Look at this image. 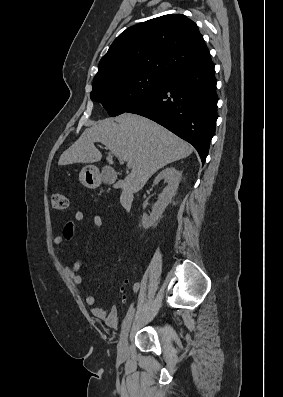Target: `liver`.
<instances>
[{"instance_id":"6515ba94","label":"liver","mask_w":283,"mask_h":397,"mask_svg":"<svg viewBox=\"0 0 283 397\" xmlns=\"http://www.w3.org/2000/svg\"><path fill=\"white\" fill-rule=\"evenodd\" d=\"M95 142H101L110 150L106 158L109 164H113V156L130 163L131 172L125 177L124 185L133 193L141 190L157 170L193 152L190 144L159 124L136 114L125 113L87 128L62 153L58 164L100 161L102 154L95 147Z\"/></svg>"}]
</instances>
